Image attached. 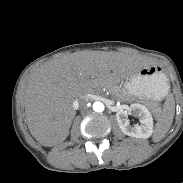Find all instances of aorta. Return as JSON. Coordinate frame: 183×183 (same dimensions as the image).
I'll use <instances>...</instances> for the list:
<instances>
[{
    "label": "aorta",
    "mask_w": 183,
    "mask_h": 183,
    "mask_svg": "<svg viewBox=\"0 0 183 183\" xmlns=\"http://www.w3.org/2000/svg\"><path fill=\"white\" fill-rule=\"evenodd\" d=\"M105 109V106L102 102H99V101H96L94 104H93V110L95 112H103Z\"/></svg>",
    "instance_id": "obj_1"
}]
</instances>
